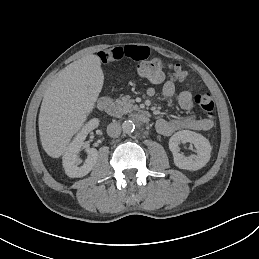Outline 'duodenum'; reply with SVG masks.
Listing matches in <instances>:
<instances>
[{"label":"duodenum","mask_w":259,"mask_h":259,"mask_svg":"<svg viewBox=\"0 0 259 259\" xmlns=\"http://www.w3.org/2000/svg\"><path fill=\"white\" fill-rule=\"evenodd\" d=\"M98 107L101 111L111 116H120L122 113L120 105L108 97L101 98L98 101ZM133 117L140 123H147L149 121L148 115L141 111L134 112Z\"/></svg>","instance_id":"410a0bca"}]
</instances>
